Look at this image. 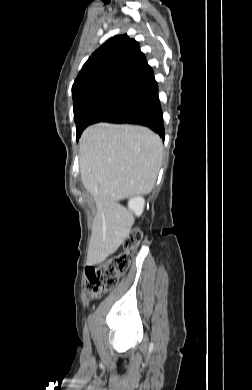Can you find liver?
Segmentation results:
<instances>
[{"label": "liver", "instance_id": "6515ba94", "mask_svg": "<svg viewBox=\"0 0 252 390\" xmlns=\"http://www.w3.org/2000/svg\"><path fill=\"white\" fill-rule=\"evenodd\" d=\"M81 181L97 203L87 264L103 262L129 236L132 215L118 201L149 194L162 164L160 137L142 126L98 123L80 138Z\"/></svg>", "mask_w": 252, "mask_h": 390}]
</instances>
